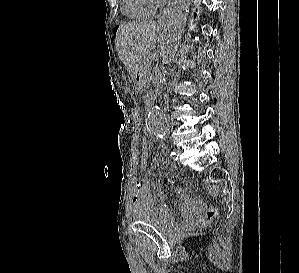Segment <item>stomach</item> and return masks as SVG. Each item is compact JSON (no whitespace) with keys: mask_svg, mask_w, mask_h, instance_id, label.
Masks as SVG:
<instances>
[{"mask_svg":"<svg viewBox=\"0 0 299 273\" xmlns=\"http://www.w3.org/2000/svg\"><path fill=\"white\" fill-rule=\"evenodd\" d=\"M137 79H139L138 77H137ZM143 86L141 85V86H139V89H141Z\"/></svg>","mask_w":299,"mask_h":273,"instance_id":"0dacf381","label":"stomach"}]
</instances>
